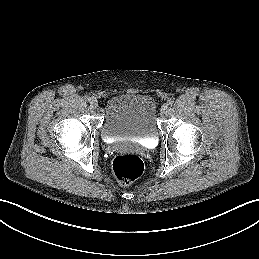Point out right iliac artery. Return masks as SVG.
Wrapping results in <instances>:
<instances>
[{"label": "right iliac artery", "mask_w": 259, "mask_h": 259, "mask_svg": "<svg viewBox=\"0 0 259 259\" xmlns=\"http://www.w3.org/2000/svg\"><path fill=\"white\" fill-rule=\"evenodd\" d=\"M84 100H85L86 102H90V101H91V98H90L89 96H85V97H84Z\"/></svg>", "instance_id": "right-iliac-artery-1"}]
</instances>
